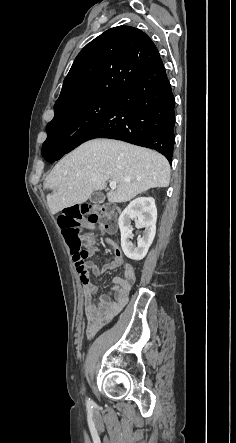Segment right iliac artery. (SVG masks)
Segmentation results:
<instances>
[{
	"label": "right iliac artery",
	"mask_w": 236,
	"mask_h": 443,
	"mask_svg": "<svg viewBox=\"0 0 236 443\" xmlns=\"http://www.w3.org/2000/svg\"><path fill=\"white\" fill-rule=\"evenodd\" d=\"M86 402L88 406H91L93 404V402L90 399H87Z\"/></svg>",
	"instance_id": "obj_1"
}]
</instances>
